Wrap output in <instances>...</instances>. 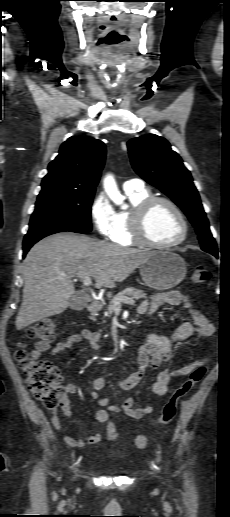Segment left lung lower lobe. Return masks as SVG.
I'll use <instances>...</instances> for the list:
<instances>
[{"mask_svg": "<svg viewBox=\"0 0 230 517\" xmlns=\"http://www.w3.org/2000/svg\"><path fill=\"white\" fill-rule=\"evenodd\" d=\"M214 256H215V257H218V253H215V254H214Z\"/></svg>", "mask_w": 230, "mask_h": 517, "instance_id": "left-lung-lower-lobe-1", "label": "left lung lower lobe"}]
</instances>
